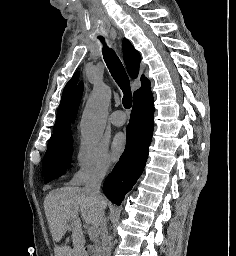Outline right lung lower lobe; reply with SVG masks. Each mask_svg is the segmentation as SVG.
<instances>
[{
	"instance_id": "obj_1",
	"label": "right lung lower lobe",
	"mask_w": 236,
	"mask_h": 256,
	"mask_svg": "<svg viewBox=\"0 0 236 256\" xmlns=\"http://www.w3.org/2000/svg\"><path fill=\"white\" fill-rule=\"evenodd\" d=\"M153 114V96L149 87L133 101L125 151L103 185L106 197L117 205L121 204L144 170L153 134Z\"/></svg>"
}]
</instances>
